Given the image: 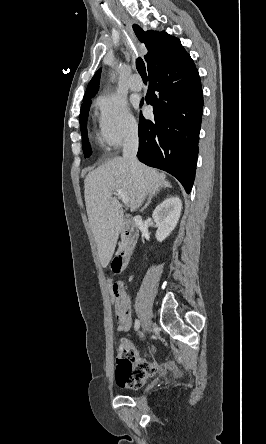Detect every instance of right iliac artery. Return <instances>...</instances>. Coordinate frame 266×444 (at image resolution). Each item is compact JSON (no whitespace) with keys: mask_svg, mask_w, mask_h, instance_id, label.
Masks as SVG:
<instances>
[{"mask_svg":"<svg viewBox=\"0 0 266 444\" xmlns=\"http://www.w3.org/2000/svg\"><path fill=\"white\" fill-rule=\"evenodd\" d=\"M139 328H140V321L138 319H136L135 324H134V329L136 331H138Z\"/></svg>","mask_w":266,"mask_h":444,"instance_id":"1","label":"right iliac artery"}]
</instances>
